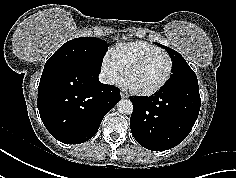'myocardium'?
<instances>
[{
    "label": "myocardium",
    "instance_id": "obj_1",
    "mask_svg": "<svg viewBox=\"0 0 236 178\" xmlns=\"http://www.w3.org/2000/svg\"><path fill=\"white\" fill-rule=\"evenodd\" d=\"M158 55L166 56L169 61V69H168V72H167L166 76L164 77V79L155 87L147 89V90L135 89V88L131 87L130 85H128L126 80H127V77L129 76V74L133 70H135L137 67H139L142 63H144L145 61L149 60L152 57L158 56ZM173 69H174L173 59L167 52H165V51L152 52L150 54L136 58L135 60H133L131 63H129L126 66V68L123 71V75H122V84L125 87V89L127 91H129L131 94H134L137 96H150V95H153V94L157 93L158 91H160L168 83V81L170 80V78L173 74Z\"/></svg>",
    "mask_w": 236,
    "mask_h": 178
}]
</instances>
